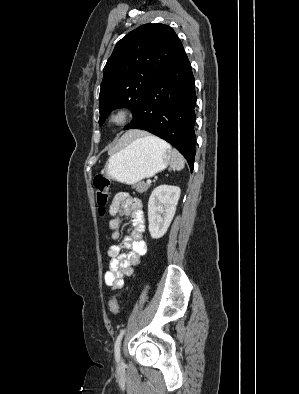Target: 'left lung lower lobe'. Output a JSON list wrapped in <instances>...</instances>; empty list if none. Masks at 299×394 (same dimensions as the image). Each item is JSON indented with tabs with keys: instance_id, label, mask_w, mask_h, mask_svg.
I'll use <instances>...</instances> for the list:
<instances>
[{
	"instance_id": "1",
	"label": "left lung lower lobe",
	"mask_w": 299,
	"mask_h": 394,
	"mask_svg": "<svg viewBox=\"0 0 299 394\" xmlns=\"http://www.w3.org/2000/svg\"><path fill=\"white\" fill-rule=\"evenodd\" d=\"M195 79L185 51L151 84L133 121L124 129L146 130L172 144L193 170Z\"/></svg>"
}]
</instances>
